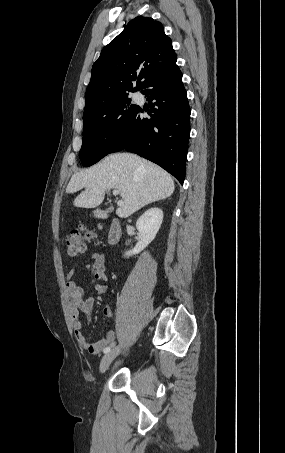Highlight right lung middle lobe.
Returning a JSON list of instances; mask_svg holds the SVG:
<instances>
[{
	"mask_svg": "<svg viewBox=\"0 0 285 453\" xmlns=\"http://www.w3.org/2000/svg\"><path fill=\"white\" fill-rule=\"evenodd\" d=\"M138 108L127 94L83 114V143L79 152L83 166L89 167L110 153Z\"/></svg>",
	"mask_w": 285,
	"mask_h": 453,
	"instance_id": "obj_1",
	"label": "right lung middle lobe"
}]
</instances>
